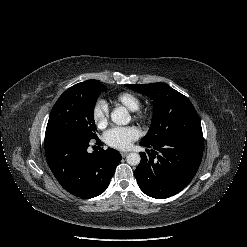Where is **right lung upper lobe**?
<instances>
[{
  "mask_svg": "<svg viewBox=\"0 0 247 247\" xmlns=\"http://www.w3.org/2000/svg\"><path fill=\"white\" fill-rule=\"evenodd\" d=\"M94 80H87V81H84V82H81V83H78V84H81V85H88V84H91L93 83Z\"/></svg>",
  "mask_w": 247,
  "mask_h": 247,
  "instance_id": "obj_1",
  "label": "right lung upper lobe"
}]
</instances>
